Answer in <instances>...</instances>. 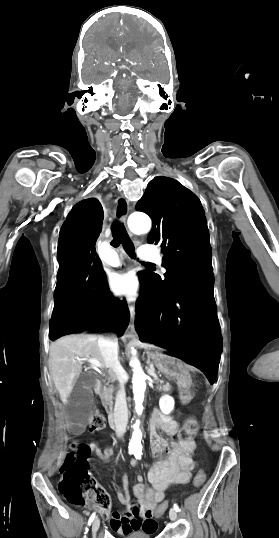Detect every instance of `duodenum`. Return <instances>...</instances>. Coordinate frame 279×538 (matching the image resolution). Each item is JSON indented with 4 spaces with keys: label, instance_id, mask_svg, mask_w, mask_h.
<instances>
[{
    "label": "duodenum",
    "instance_id": "1",
    "mask_svg": "<svg viewBox=\"0 0 279 538\" xmlns=\"http://www.w3.org/2000/svg\"><path fill=\"white\" fill-rule=\"evenodd\" d=\"M96 386H97V390L99 392H102L104 390V383L102 381H98L96 383ZM108 418L106 419V422H107V428L109 429H112V428H118V423H112V422H115V419L113 418H116V413H113L112 410H108Z\"/></svg>",
    "mask_w": 279,
    "mask_h": 538
}]
</instances>
